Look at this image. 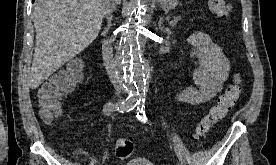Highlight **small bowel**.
<instances>
[{
  "instance_id": "1",
  "label": "small bowel",
  "mask_w": 276,
  "mask_h": 165,
  "mask_svg": "<svg viewBox=\"0 0 276 165\" xmlns=\"http://www.w3.org/2000/svg\"><path fill=\"white\" fill-rule=\"evenodd\" d=\"M190 54L198 60L193 79L196 87L188 86L178 91L179 101L198 105L215 98L229 78L231 65L221 47L203 32H194L188 40Z\"/></svg>"
}]
</instances>
